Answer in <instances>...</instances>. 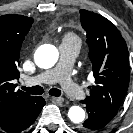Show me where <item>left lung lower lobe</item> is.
I'll use <instances>...</instances> for the list:
<instances>
[{
	"mask_svg": "<svg viewBox=\"0 0 133 133\" xmlns=\"http://www.w3.org/2000/svg\"><path fill=\"white\" fill-rule=\"evenodd\" d=\"M86 105L88 118L80 126L84 133L96 132L102 130L115 117L117 110L107 109L94 102L81 101Z\"/></svg>",
	"mask_w": 133,
	"mask_h": 133,
	"instance_id": "0a47b994",
	"label": "left lung lower lobe"
}]
</instances>
